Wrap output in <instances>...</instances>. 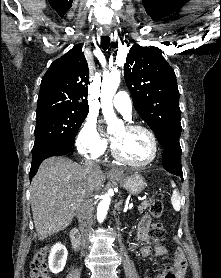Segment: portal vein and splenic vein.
<instances>
[{
  "instance_id": "1",
  "label": "portal vein and splenic vein",
  "mask_w": 221,
  "mask_h": 278,
  "mask_svg": "<svg viewBox=\"0 0 221 278\" xmlns=\"http://www.w3.org/2000/svg\"><path fill=\"white\" fill-rule=\"evenodd\" d=\"M132 207H133V203H130L128 209H132Z\"/></svg>"
}]
</instances>
